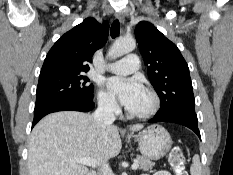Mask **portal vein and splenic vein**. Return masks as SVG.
<instances>
[{
    "label": "portal vein and splenic vein",
    "instance_id": "obj_1",
    "mask_svg": "<svg viewBox=\"0 0 233 175\" xmlns=\"http://www.w3.org/2000/svg\"><path fill=\"white\" fill-rule=\"evenodd\" d=\"M72 162L74 163H78V164H83V165H87V166H92V167H96L97 165H99L94 159L90 158V157H85V158H75L72 160ZM139 167V162L135 161L132 164V169L136 170Z\"/></svg>",
    "mask_w": 233,
    "mask_h": 175
}]
</instances>
